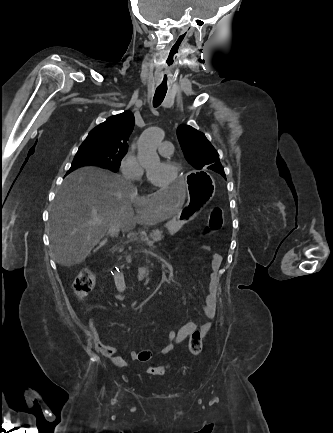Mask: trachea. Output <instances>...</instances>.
<instances>
[{
  "mask_svg": "<svg viewBox=\"0 0 333 433\" xmlns=\"http://www.w3.org/2000/svg\"><path fill=\"white\" fill-rule=\"evenodd\" d=\"M166 92H167L166 87L159 86L156 89L154 97H153V106L154 107H158L163 102L165 95H166Z\"/></svg>",
  "mask_w": 333,
  "mask_h": 433,
  "instance_id": "trachea-1",
  "label": "trachea"
}]
</instances>
